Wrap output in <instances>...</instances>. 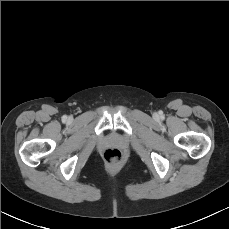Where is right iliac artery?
I'll use <instances>...</instances> for the list:
<instances>
[{
	"mask_svg": "<svg viewBox=\"0 0 229 229\" xmlns=\"http://www.w3.org/2000/svg\"><path fill=\"white\" fill-rule=\"evenodd\" d=\"M66 119H67L66 116H63V117H62V120H63V121H66Z\"/></svg>",
	"mask_w": 229,
	"mask_h": 229,
	"instance_id": "82829eb1",
	"label": "right iliac artery"
}]
</instances>
